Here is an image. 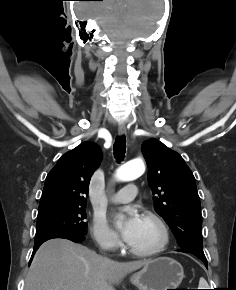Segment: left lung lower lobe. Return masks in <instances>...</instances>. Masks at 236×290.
Returning <instances> with one entry per match:
<instances>
[{
	"mask_svg": "<svg viewBox=\"0 0 236 290\" xmlns=\"http://www.w3.org/2000/svg\"><path fill=\"white\" fill-rule=\"evenodd\" d=\"M179 251H181V252H184V251H182V250H179ZM200 259V258H199ZM200 260H202V259H200ZM203 262H204V264L206 265V267H207V260H202Z\"/></svg>",
	"mask_w": 236,
	"mask_h": 290,
	"instance_id": "left-lung-lower-lobe-1",
	"label": "left lung lower lobe"
}]
</instances>
